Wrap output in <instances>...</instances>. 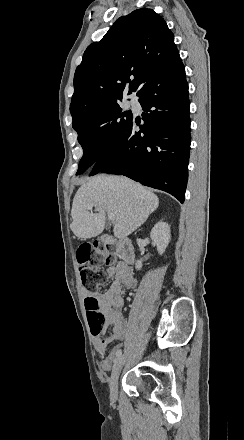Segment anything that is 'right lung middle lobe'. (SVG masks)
<instances>
[{"label":"right lung middle lobe","mask_w":244,"mask_h":440,"mask_svg":"<svg viewBox=\"0 0 244 440\" xmlns=\"http://www.w3.org/2000/svg\"><path fill=\"white\" fill-rule=\"evenodd\" d=\"M122 99H107L93 105L70 110L72 126L83 148L76 175L84 173L105 154L131 122L129 111L122 112Z\"/></svg>","instance_id":"1"}]
</instances>
